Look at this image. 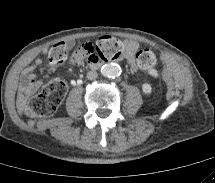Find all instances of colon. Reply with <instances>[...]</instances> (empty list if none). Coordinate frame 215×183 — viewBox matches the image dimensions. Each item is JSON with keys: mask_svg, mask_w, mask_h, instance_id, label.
Instances as JSON below:
<instances>
[{"mask_svg": "<svg viewBox=\"0 0 215 183\" xmlns=\"http://www.w3.org/2000/svg\"><path fill=\"white\" fill-rule=\"evenodd\" d=\"M124 51L123 43L114 37H101L95 42L81 45L77 52L83 53L85 58L92 62L110 61L118 58ZM68 55V45L64 42L54 44L49 51V61L53 65L62 64ZM137 63L150 77H157V57L149 49L141 50L137 54ZM67 92V84L62 80L47 83L41 91L31 97L26 106L25 113L33 118L52 116Z\"/></svg>", "mask_w": 215, "mask_h": 183, "instance_id": "5ec220e1", "label": "colon"}]
</instances>
